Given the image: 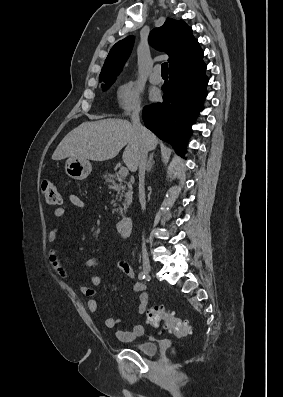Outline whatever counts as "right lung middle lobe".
<instances>
[{"label": "right lung middle lobe", "mask_w": 283, "mask_h": 397, "mask_svg": "<svg viewBox=\"0 0 283 397\" xmlns=\"http://www.w3.org/2000/svg\"><path fill=\"white\" fill-rule=\"evenodd\" d=\"M103 82L105 83V85L103 86V90H105V89H107L108 87H110L113 84L114 79L104 80Z\"/></svg>", "instance_id": "obj_1"}]
</instances>
